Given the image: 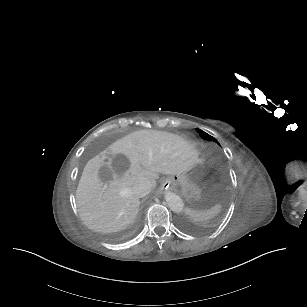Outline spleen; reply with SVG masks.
<instances>
[{
  "label": "spleen",
  "instance_id": "1",
  "mask_svg": "<svg viewBox=\"0 0 307 307\" xmlns=\"http://www.w3.org/2000/svg\"><path fill=\"white\" fill-rule=\"evenodd\" d=\"M221 210L222 206L220 204H216L207 210L188 207L185 209L184 214L186 217L192 218L194 220H208L216 217L221 212Z\"/></svg>",
  "mask_w": 307,
  "mask_h": 307
}]
</instances>
